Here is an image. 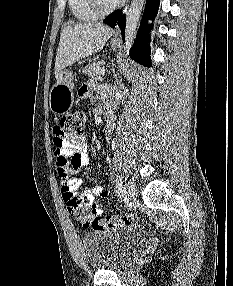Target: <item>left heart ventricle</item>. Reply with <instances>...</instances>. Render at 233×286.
<instances>
[{
  "instance_id": "left-heart-ventricle-1",
  "label": "left heart ventricle",
  "mask_w": 233,
  "mask_h": 286,
  "mask_svg": "<svg viewBox=\"0 0 233 286\" xmlns=\"http://www.w3.org/2000/svg\"><path fill=\"white\" fill-rule=\"evenodd\" d=\"M104 6H110L115 3V0H101Z\"/></svg>"
}]
</instances>
